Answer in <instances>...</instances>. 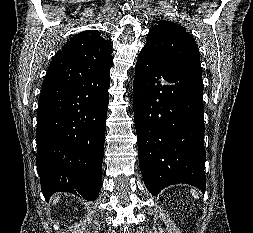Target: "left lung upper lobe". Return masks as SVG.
I'll return each instance as SVG.
<instances>
[{
  "label": "left lung upper lobe",
  "instance_id": "obj_1",
  "mask_svg": "<svg viewBox=\"0 0 253 233\" xmlns=\"http://www.w3.org/2000/svg\"><path fill=\"white\" fill-rule=\"evenodd\" d=\"M142 50L170 75L186 70L202 74L198 46L191 34L177 23L158 21L148 33Z\"/></svg>",
  "mask_w": 253,
  "mask_h": 233
}]
</instances>
